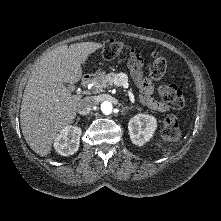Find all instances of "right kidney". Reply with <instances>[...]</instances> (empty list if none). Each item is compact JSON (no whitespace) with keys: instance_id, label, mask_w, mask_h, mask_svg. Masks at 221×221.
<instances>
[{"instance_id":"ca27d5eb","label":"right kidney","mask_w":221,"mask_h":221,"mask_svg":"<svg viewBox=\"0 0 221 221\" xmlns=\"http://www.w3.org/2000/svg\"><path fill=\"white\" fill-rule=\"evenodd\" d=\"M82 130L77 126H66L54 140V148L63 156L73 155L79 149Z\"/></svg>"}]
</instances>
